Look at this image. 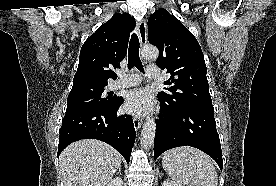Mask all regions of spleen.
<instances>
[{
	"label": "spleen",
	"instance_id": "obj_1",
	"mask_svg": "<svg viewBox=\"0 0 276 186\" xmlns=\"http://www.w3.org/2000/svg\"><path fill=\"white\" fill-rule=\"evenodd\" d=\"M162 165L175 181L188 186H217L211 158L193 147H177L165 153Z\"/></svg>",
	"mask_w": 276,
	"mask_h": 186
}]
</instances>
